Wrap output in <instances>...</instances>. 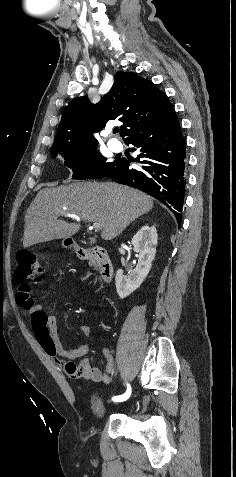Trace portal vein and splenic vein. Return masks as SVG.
<instances>
[{
    "label": "portal vein and splenic vein",
    "instance_id": "portal-vein-and-splenic-vein-1",
    "mask_svg": "<svg viewBox=\"0 0 236 477\" xmlns=\"http://www.w3.org/2000/svg\"><path fill=\"white\" fill-rule=\"evenodd\" d=\"M60 215L65 216V217H70V218H73V219H76V220H80V218L77 215L70 214V213H67V212H61ZM91 228L95 229V230H99V229H101V224L100 223H94L91 226Z\"/></svg>",
    "mask_w": 236,
    "mask_h": 477
}]
</instances>
